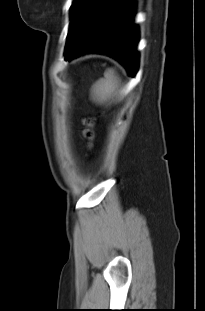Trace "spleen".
<instances>
[{
	"label": "spleen",
	"instance_id": "3e777b00",
	"mask_svg": "<svg viewBox=\"0 0 205 311\" xmlns=\"http://www.w3.org/2000/svg\"><path fill=\"white\" fill-rule=\"evenodd\" d=\"M104 79H100L93 85L92 93L98 101H106L118 89V80L114 76V71L108 69L104 74Z\"/></svg>",
	"mask_w": 205,
	"mask_h": 311
}]
</instances>
